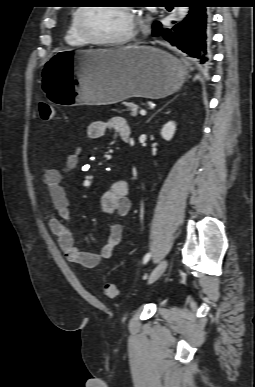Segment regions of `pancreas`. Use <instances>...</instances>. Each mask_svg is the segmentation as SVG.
Masks as SVG:
<instances>
[{
  "instance_id": "obj_1",
  "label": "pancreas",
  "mask_w": 255,
  "mask_h": 387,
  "mask_svg": "<svg viewBox=\"0 0 255 387\" xmlns=\"http://www.w3.org/2000/svg\"><path fill=\"white\" fill-rule=\"evenodd\" d=\"M124 104H125V106H127L128 111H130L131 115L133 117H136L137 116V110H138L139 106L136 105L135 103H132V102H125Z\"/></svg>"
}]
</instances>
